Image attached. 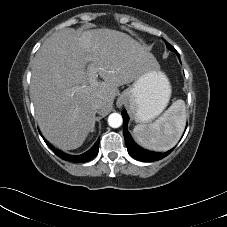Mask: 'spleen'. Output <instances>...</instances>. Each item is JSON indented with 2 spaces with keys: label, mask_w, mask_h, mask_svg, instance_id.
Here are the masks:
<instances>
[{
  "label": "spleen",
  "mask_w": 227,
  "mask_h": 227,
  "mask_svg": "<svg viewBox=\"0 0 227 227\" xmlns=\"http://www.w3.org/2000/svg\"><path fill=\"white\" fill-rule=\"evenodd\" d=\"M186 117L185 102L177 100L154 123L135 126L134 138L145 149L167 151L179 140L186 124Z\"/></svg>",
  "instance_id": "1"
}]
</instances>
